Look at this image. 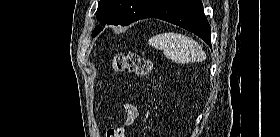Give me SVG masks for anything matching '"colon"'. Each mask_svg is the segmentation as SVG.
<instances>
[{
    "mask_svg": "<svg viewBox=\"0 0 280 137\" xmlns=\"http://www.w3.org/2000/svg\"><path fill=\"white\" fill-rule=\"evenodd\" d=\"M111 67L114 72H129L138 76H147L153 72L152 61L134 52L116 54L112 59ZM106 136L125 137V126L121 125L110 128L107 131Z\"/></svg>",
    "mask_w": 280,
    "mask_h": 137,
    "instance_id": "1",
    "label": "colon"
}]
</instances>
